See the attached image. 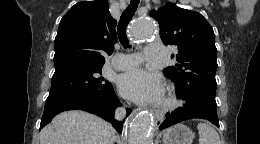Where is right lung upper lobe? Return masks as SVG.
Segmentation results:
<instances>
[{
    "label": "right lung upper lobe",
    "mask_w": 260,
    "mask_h": 144,
    "mask_svg": "<svg viewBox=\"0 0 260 144\" xmlns=\"http://www.w3.org/2000/svg\"><path fill=\"white\" fill-rule=\"evenodd\" d=\"M116 20L107 0L75 4L61 19L55 37V69L71 64L103 65L117 41Z\"/></svg>",
    "instance_id": "1"
}]
</instances>
